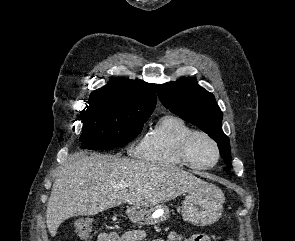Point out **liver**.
I'll return each mask as SVG.
<instances>
[{"label":"liver","instance_id":"liver-1","mask_svg":"<svg viewBox=\"0 0 295 241\" xmlns=\"http://www.w3.org/2000/svg\"><path fill=\"white\" fill-rule=\"evenodd\" d=\"M118 184L126 187L117 189ZM208 185L168 164L112 155L74 154L61 166L46 210L52 237L72 216H91L122 203L157 205Z\"/></svg>","mask_w":295,"mask_h":241}]
</instances>
